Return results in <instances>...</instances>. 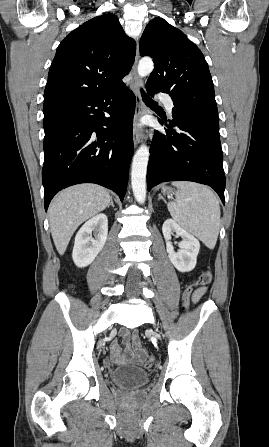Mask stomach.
Segmentation results:
<instances>
[{
    "label": "stomach",
    "instance_id": "stomach-1",
    "mask_svg": "<svg viewBox=\"0 0 269 447\" xmlns=\"http://www.w3.org/2000/svg\"><path fill=\"white\" fill-rule=\"evenodd\" d=\"M162 194H170V188H162Z\"/></svg>",
    "mask_w": 269,
    "mask_h": 447
}]
</instances>
